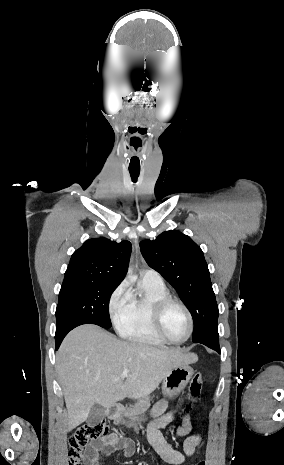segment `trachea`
<instances>
[{
  "label": "trachea",
  "instance_id": "1",
  "mask_svg": "<svg viewBox=\"0 0 284 465\" xmlns=\"http://www.w3.org/2000/svg\"><path fill=\"white\" fill-rule=\"evenodd\" d=\"M129 172H130L132 181L136 182L140 174V169H129Z\"/></svg>",
  "mask_w": 284,
  "mask_h": 465
}]
</instances>
